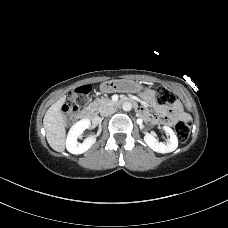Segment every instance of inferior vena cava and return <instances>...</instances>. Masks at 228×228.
<instances>
[{
    "instance_id": "inferior-vena-cava-1",
    "label": "inferior vena cava",
    "mask_w": 228,
    "mask_h": 228,
    "mask_svg": "<svg viewBox=\"0 0 228 228\" xmlns=\"http://www.w3.org/2000/svg\"><path fill=\"white\" fill-rule=\"evenodd\" d=\"M116 109L114 107H108L101 112V116H109L115 113Z\"/></svg>"
}]
</instances>
